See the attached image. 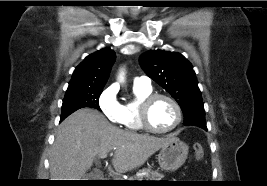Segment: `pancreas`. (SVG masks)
Masks as SVG:
<instances>
[{
    "label": "pancreas",
    "mask_w": 267,
    "mask_h": 186,
    "mask_svg": "<svg viewBox=\"0 0 267 186\" xmlns=\"http://www.w3.org/2000/svg\"><path fill=\"white\" fill-rule=\"evenodd\" d=\"M143 172H147L143 176H134L130 180H139L142 181L144 178L145 181H161V179L164 177L163 174L159 173L158 171H152L151 169H144Z\"/></svg>",
    "instance_id": "1"
}]
</instances>
